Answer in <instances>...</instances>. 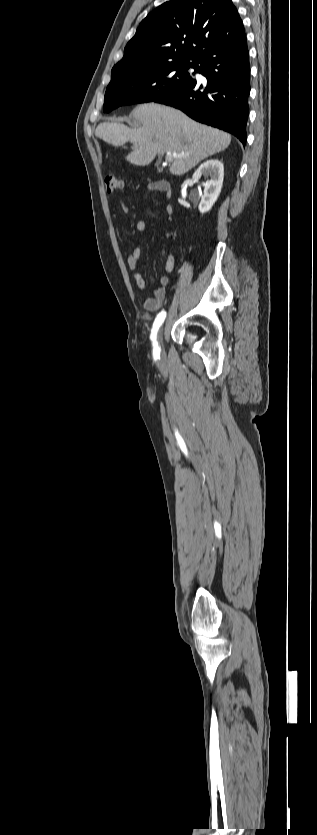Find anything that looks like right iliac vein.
Listing matches in <instances>:
<instances>
[{
  "mask_svg": "<svg viewBox=\"0 0 317 835\" xmlns=\"http://www.w3.org/2000/svg\"><path fill=\"white\" fill-rule=\"evenodd\" d=\"M158 342H159V344H160V345H162V344H163V338H162V328H161V329H160V331H159V335H158Z\"/></svg>",
  "mask_w": 317,
  "mask_h": 835,
  "instance_id": "63e3f726",
  "label": "right iliac vein"
}]
</instances>
